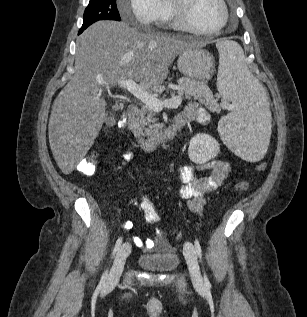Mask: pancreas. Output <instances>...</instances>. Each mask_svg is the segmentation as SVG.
<instances>
[{"label": "pancreas", "instance_id": "1", "mask_svg": "<svg viewBox=\"0 0 307 317\" xmlns=\"http://www.w3.org/2000/svg\"><path fill=\"white\" fill-rule=\"evenodd\" d=\"M177 84L180 89L176 92H172V96H175V94L184 95V98L187 100L194 98L195 100H199L201 102H205L204 99H207L210 110H220L217 101L211 98V94L204 83L182 77L178 79ZM161 128L162 125L158 123L155 111L147 105H142L141 109L131 119V129L134 133H139L141 136L147 137L148 140L154 142L162 138V134L160 133Z\"/></svg>", "mask_w": 307, "mask_h": 317}]
</instances>
